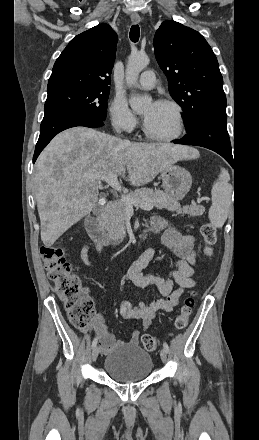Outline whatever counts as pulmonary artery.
I'll use <instances>...</instances> for the list:
<instances>
[{"instance_id":"e3ab8cb5","label":"pulmonary artery","mask_w":259,"mask_h":440,"mask_svg":"<svg viewBox=\"0 0 259 440\" xmlns=\"http://www.w3.org/2000/svg\"><path fill=\"white\" fill-rule=\"evenodd\" d=\"M155 83L156 79L154 72L152 70H146L141 74L137 87L140 89L149 90L155 86Z\"/></svg>"}]
</instances>
